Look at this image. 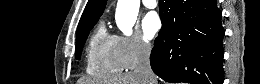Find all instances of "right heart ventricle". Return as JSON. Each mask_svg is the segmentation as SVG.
I'll return each mask as SVG.
<instances>
[{
	"label": "right heart ventricle",
	"mask_w": 260,
	"mask_h": 84,
	"mask_svg": "<svg viewBox=\"0 0 260 84\" xmlns=\"http://www.w3.org/2000/svg\"><path fill=\"white\" fill-rule=\"evenodd\" d=\"M117 55L116 37L100 25L91 36L86 55V71L95 77H105L123 70Z\"/></svg>",
	"instance_id": "e07e8e85"
}]
</instances>
